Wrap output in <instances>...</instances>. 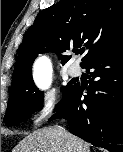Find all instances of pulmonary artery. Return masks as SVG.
Here are the masks:
<instances>
[{
    "label": "pulmonary artery",
    "instance_id": "pulmonary-artery-1",
    "mask_svg": "<svg viewBox=\"0 0 123 152\" xmlns=\"http://www.w3.org/2000/svg\"><path fill=\"white\" fill-rule=\"evenodd\" d=\"M68 73L71 77H77L80 75L81 69L78 64L74 63L69 67Z\"/></svg>",
    "mask_w": 123,
    "mask_h": 152
}]
</instances>
